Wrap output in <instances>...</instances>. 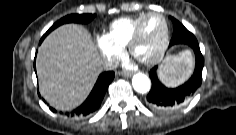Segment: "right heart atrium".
<instances>
[{
  "mask_svg": "<svg viewBox=\"0 0 236 135\" xmlns=\"http://www.w3.org/2000/svg\"><path fill=\"white\" fill-rule=\"evenodd\" d=\"M95 43L107 64L111 65L122 54V48L112 43L106 34H96Z\"/></svg>",
  "mask_w": 236,
  "mask_h": 135,
  "instance_id": "right-heart-atrium-1",
  "label": "right heart atrium"
}]
</instances>
